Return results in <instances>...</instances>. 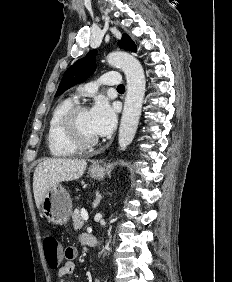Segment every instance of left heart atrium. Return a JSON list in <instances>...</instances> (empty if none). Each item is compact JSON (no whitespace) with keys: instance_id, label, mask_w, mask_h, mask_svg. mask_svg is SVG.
Instances as JSON below:
<instances>
[{"instance_id":"left-heart-atrium-1","label":"left heart atrium","mask_w":232,"mask_h":282,"mask_svg":"<svg viewBox=\"0 0 232 282\" xmlns=\"http://www.w3.org/2000/svg\"><path fill=\"white\" fill-rule=\"evenodd\" d=\"M89 113L92 128L97 136H107L114 130L117 121L116 110L105 98L97 99Z\"/></svg>"}]
</instances>
